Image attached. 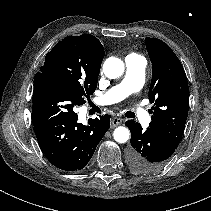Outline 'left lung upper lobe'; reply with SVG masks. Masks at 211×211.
Segmentation results:
<instances>
[{"instance_id": "5c2ea615", "label": "left lung upper lobe", "mask_w": 211, "mask_h": 211, "mask_svg": "<svg viewBox=\"0 0 211 211\" xmlns=\"http://www.w3.org/2000/svg\"><path fill=\"white\" fill-rule=\"evenodd\" d=\"M152 62L149 100L154 103L149 128L178 146L189 108V87L182 64L172 49L157 38H145Z\"/></svg>"}]
</instances>
